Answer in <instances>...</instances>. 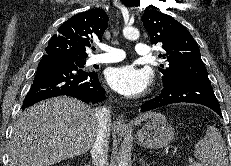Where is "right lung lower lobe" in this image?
<instances>
[{
  "label": "right lung lower lobe",
  "mask_w": 231,
  "mask_h": 166,
  "mask_svg": "<svg viewBox=\"0 0 231 166\" xmlns=\"http://www.w3.org/2000/svg\"><path fill=\"white\" fill-rule=\"evenodd\" d=\"M60 95L93 104L105 100V90L100 86L96 73L85 72L70 61L44 55L22 109Z\"/></svg>",
  "instance_id": "obj_1"
}]
</instances>
